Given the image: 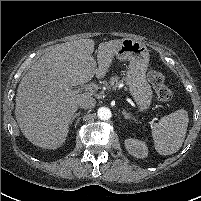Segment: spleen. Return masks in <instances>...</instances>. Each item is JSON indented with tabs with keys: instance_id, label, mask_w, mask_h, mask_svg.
<instances>
[{
	"instance_id": "1",
	"label": "spleen",
	"mask_w": 201,
	"mask_h": 201,
	"mask_svg": "<svg viewBox=\"0 0 201 201\" xmlns=\"http://www.w3.org/2000/svg\"><path fill=\"white\" fill-rule=\"evenodd\" d=\"M188 123V113L183 109L162 117L151 131L156 151L161 155L176 153L184 142Z\"/></svg>"
}]
</instances>
